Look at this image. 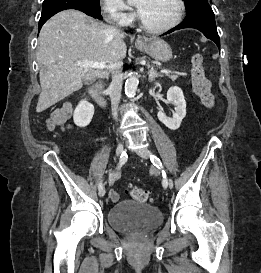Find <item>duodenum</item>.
<instances>
[{
	"label": "duodenum",
	"instance_id": "duodenum-1",
	"mask_svg": "<svg viewBox=\"0 0 261 273\" xmlns=\"http://www.w3.org/2000/svg\"><path fill=\"white\" fill-rule=\"evenodd\" d=\"M88 95L101 107L106 106V99L101 94V86L99 83L92 84L88 89Z\"/></svg>",
	"mask_w": 261,
	"mask_h": 273
}]
</instances>
